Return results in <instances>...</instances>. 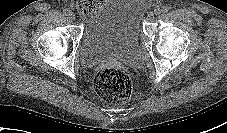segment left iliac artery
I'll use <instances>...</instances> for the list:
<instances>
[{"label": "left iliac artery", "mask_w": 227, "mask_h": 133, "mask_svg": "<svg viewBox=\"0 0 227 133\" xmlns=\"http://www.w3.org/2000/svg\"><path fill=\"white\" fill-rule=\"evenodd\" d=\"M169 10H170V7H168V6L162 7V11H163L164 13L168 12Z\"/></svg>", "instance_id": "obj_1"}]
</instances>
